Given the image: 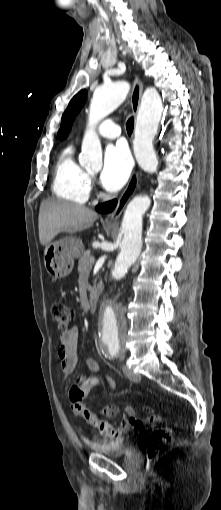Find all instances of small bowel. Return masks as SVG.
Segmentation results:
<instances>
[{
	"label": "small bowel",
	"mask_w": 221,
	"mask_h": 510,
	"mask_svg": "<svg viewBox=\"0 0 221 510\" xmlns=\"http://www.w3.org/2000/svg\"><path fill=\"white\" fill-rule=\"evenodd\" d=\"M78 336L79 330L77 327H72L67 332L61 334L57 356L63 379L70 376L75 369L77 362ZM86 366L89 371L94 374L99 372V364L93 356H88L86 358ZM90 380L91 378H87L82 375L70 389L69 400L71 402V410L76 416H83V410L86 407L82 403L84 397L80 395V392L85 391L86 396V394L92 389L93 386L90 384ZM105 381L107 388L111 389L113 387L111 380L109 378H105ZM112 408L116 410V413L118 412V407L113 406ZM146 410L151 412V408L149 407H147ZM125 412L130 417L135 416V410L131 406L126 407ZM131 427L132 425L127 421H123L119 427H113L110 423L105 422V428L100 431L106 434L109 439H118L127 433Z\"/></svg>",
	"instance_id": "1"
}]
</instances>
